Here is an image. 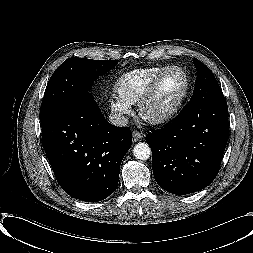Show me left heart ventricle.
<instances>
[{
	"instance_id": "left-heart-ventricle-1",
	"label": "left heart ventricle",
	"mask_w": 253,
	"mask_h": 253,
	"mask_svg": "<svg viewBox=\"0 0 253 253\" xmlns=\"http://www.w3.org/2000/svg\"><path fill=\"white\" fill-rule=\"evenodd\" d=\"M184 86L185 80L181 72L172 71L167 74L159 84L147 112L158 115L171 109L182 94Z\"/></svg>"
}]
</instances>
